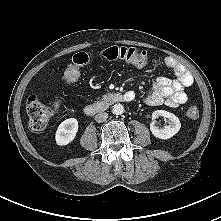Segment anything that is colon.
<instances>
[{
	"instance_id": "obj_1",
	"label": "colon",
	"mask_w": 221,
	"mask_h": 221,
	"mask_svg": "<svg viewBox=\"0 0 221 221\" xmlns=\"http://www.w3.org/2000/svg\"><path fill=\"white\" fill-rule=\"evenodd\" d=\"M102 60L106 61H126L136 66H144L148 63L147 53L135 47H109L98 55ZM95 59V56L86 52L76 53L67 66L63 79L66 83L72 84L76 82L81 75V68ZM58 109L57 102H46L41 100L37 95H32L27 101V113L30 119V125L34 130L44 129L55 112ZM200 111L197 106H189L186 109V117L190 120H197Z\"/></svg>"
}]
</instances>
